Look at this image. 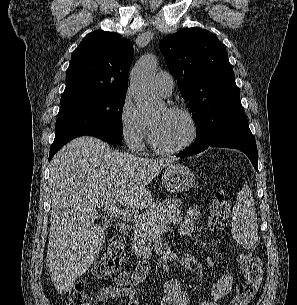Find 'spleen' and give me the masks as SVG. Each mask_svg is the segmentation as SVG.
I'll return each mask as SVG.
<instances>
[{
    "label": "spleen",
    "mask_w": 297,
    "mask_h": 305,
    "mask_svg": "<svg viewBox=\"0 0 297 305\" xmlns=\"http://www.w3.org/2000/svg\"><path fill=\"white\" fill-rule=\"evenodd\" d=\"M232 232L236 239L250 249L258 243L257 214L252 191L247 182L238 192L236 204L232 211Z\"/></svg>",
    "instance_id": "1"
}]
</instances>
